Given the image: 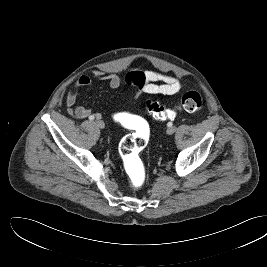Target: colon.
<instances>
[{"mask_svg": "<svg viewBox=\"0 0 267 267\" xmlns=\"http://www.w3.org/2000/svg\"><path fill=\"white\" fill-rule=\"evenodd\" d=\"M203 104V98L198 92L189 91L181 97L173 108L165 107L153 100L147 101L146 108L153 118L167 120L174 118L178 111H199L202 109ZM112 119L114 122L132 130V133L121 140L119 152L132 187L139 189L143 186L146 178L145 168L140 154L148 143L150 134L149 127L142 119L125 112L114 113Z\"/></svg>", "mask_w": 267, "mask_h": 267, "instance_id": "1", "label": "colon"}]
</instances>
